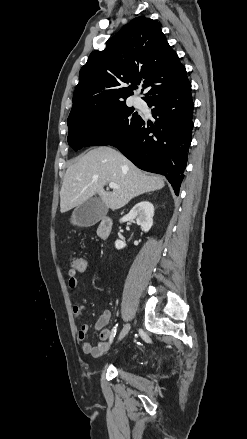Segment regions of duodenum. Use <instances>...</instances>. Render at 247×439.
Segmentation results:
<instances>
[{
    "label": "duodenum",
    "mask_w": 247,
    "mask_h": 439,
    "mask_svg": "<svg viewBox=\"0 0 247 439\" xmlns=\"http://www.w3.org/2000/svg\"><path fill=\"white\" fill-rule=\"evenodd\" d=\"M112 227L113 221L110 217L102 218L97 227V236L103 241L108 240L112 233Z\"/></svg>",
    "instance_id": "410a0bca"
}]
</instances>
